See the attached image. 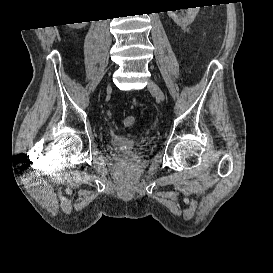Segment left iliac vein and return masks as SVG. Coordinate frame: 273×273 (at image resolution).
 <instances>
[{
  "label": "left iliac vein",
  "mask_w": 273,
  "mask_h": 273,
  "mask_svg": "<svg viewBox=\"0 0 273 273\" xmlns=\"http://www.w3.org/2000/svg\"><path fill=\"white\" fill-rule=\"evenodd\" d=\"M148 89L161 101L165 100V95L162 89L153 81L149 80L148 82Z\"/></svg>",
  "instance_id": "1"
}]
</instances>
